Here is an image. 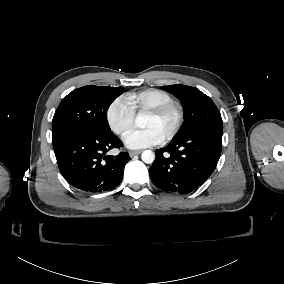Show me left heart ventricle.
Returning a JSON list of instances; mask_svg holds the SVG:
<instances>
[{
	"mask_svg": "<svg viewBox=\"0 0 284 284\" xmlns=\"http://www.w3.org/2000/svg\"><path fill=\"white\" fill-rule=\"evenodd\" d=\"M172 122L173 116L171 114L162 117L147 115L144 120V126L154 129L163 138L170 130Z\"/></svg>",
	"mask_w": 284,
	"mask_h": 284,
	"instance_id": "b2bd125f",
	"label": "left heart ventricle"
}]
</instances>
